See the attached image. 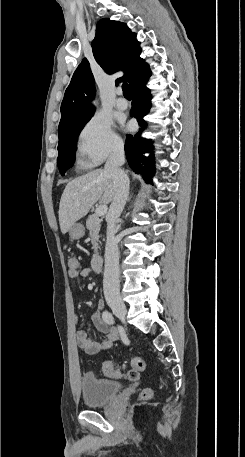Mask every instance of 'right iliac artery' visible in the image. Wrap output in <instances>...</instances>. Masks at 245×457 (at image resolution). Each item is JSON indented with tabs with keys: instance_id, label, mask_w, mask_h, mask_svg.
<instances>
[{
	"instance_id": "82829eb1",
	"label": "right iliac artery",
	"mask_w": 245,
	"mask_h": 457,
	"mask_svg": "<svg viewBox=\"0 0 245 457\" xmlns=\"http://www.w3.org/2000/svg\"><path fill=\"white\" fill-rule=\"evenodd\" d=\"M103 320L108 324H114V318L112 314L108 311H104L102 314Z\"/></svg>"
}]
</instances>
